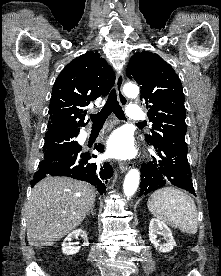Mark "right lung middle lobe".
<instances>
[{"label":"right lung middle lobe","instance_id":"right-lung-middle-lobe-1","mask_svg":"<svg viewBox=\"0 0 221 276\" xmlns=\"http://www.w3.org/2000/svg\"><path fill=\"white\" fill-rule=\"evenodd\" d=\"M77 135L75 133L45 135V143L43 146L44 159L79 149L80 145L73 140Z\"/></svg>","mask_w":221,"mask_h":276}]
</instances>
